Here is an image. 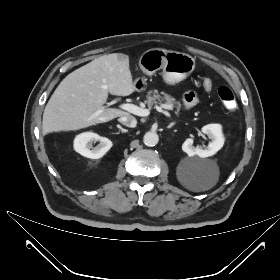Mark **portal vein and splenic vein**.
Listing matches in <instances>:
<instances>
[{
    "label": "portal vein and splenic vein",
    "mask_w": 280,
    "mask_h": 280,
    "mask_svg": "<svg viewBox=\"0 0 280 280\" xmlns=\"http://www.w3.org/2000/svg\"><path fill=\"white\" fill-rule=\"evenodd\" d=\"M120 108L138 116L145 117L150 114V111L148 109H143L130 103H123L120 105ZM162 108H166V106H156V110L158 112L163 113L165 116L170 118L171 114L168 111L163 110Z\"/></svg>",
    "instance_id": "1"
}]
</instances>
